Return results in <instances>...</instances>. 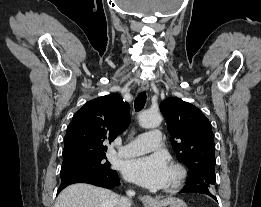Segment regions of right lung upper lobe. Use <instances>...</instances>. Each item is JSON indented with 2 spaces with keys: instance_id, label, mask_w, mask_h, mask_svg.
Masks as SVG:
<instances>
[{
  "instance_id": "cb5924a9",
  "label": "right lung upper lobe",
  "mask_w": 261,
  "mask_h": 207,
  "mask_svg": "<svg viewBox=\"0 0 261 207\" xmlns=\"http://www.w3.org/2000/svg\"><path fill=\"white\" fill-rule=\"evenodd\" d=\"M130 107L112 93L85 103L73 116L64 139L63 161L107 151L105 141H113L130 124Z\"/></svg>"
}]
</instances>
